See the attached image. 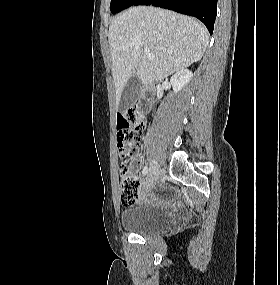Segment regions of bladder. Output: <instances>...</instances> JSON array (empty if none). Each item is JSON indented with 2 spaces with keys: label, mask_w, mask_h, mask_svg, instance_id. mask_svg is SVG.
Here are the masks:
<instances>
[{
  "label": "bladder",
  "mask_w": 280,
  "mask_h": 285,
  "mask_svg": "<svg viewBox=\"0 0 280 285\" xmlns=\"http://www.w3.org/2000/svg\"><path fill=\"white\" fill-rule=\"evenodd\" d=\"M171 222V216L146 204L127 208L120 216L122 228L140 235L158 233Z\"/></svg>",
  "instance_id": "1"
}]
</instances>
